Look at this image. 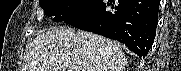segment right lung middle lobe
<instances>
[{
	"label": "right lung middle lobe",
	"instance_id": "obj_1",
	"mask_svg": "<svg viewBox=\"0 0 181 71\" xmlns=\"http://www.w3.org/2000/svg\"><path fill=\"white\" fill-rule=\"evenodd\" d=\"M93 2L95 0H40L39 4L48 17L55 16L53 20L61 22L79 14Z\"/></svg>",
	"mask_w": 181,
	"mask_h": 71
}]
</instances>
